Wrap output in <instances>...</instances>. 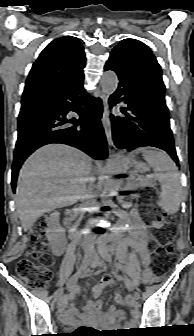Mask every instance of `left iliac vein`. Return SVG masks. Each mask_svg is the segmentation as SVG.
Returning <instances> with one entry per match:
<instances>
[{"label": "left iliac vein", "mask_w": 194, "mask_h": 336, "mask_svg": "<svg viewBox=\"0 0 194 336\" xmlns=\"http://www.w3.org/2000/svg\"><path fill=\"white\" fill-rule=\"evenodd\" d=\"M104 259H105L107 262H109V263L112 262L110 256H108V255H107V256H104ZM93 262L96 263V264L102 265L101 262H99L97 259H94ZM132 290H133V289H132ZM134 298H135L136 300L140 299V295H139L138 292H134Z\"/></svg>", "instance_id": "1"}]
</instances>
